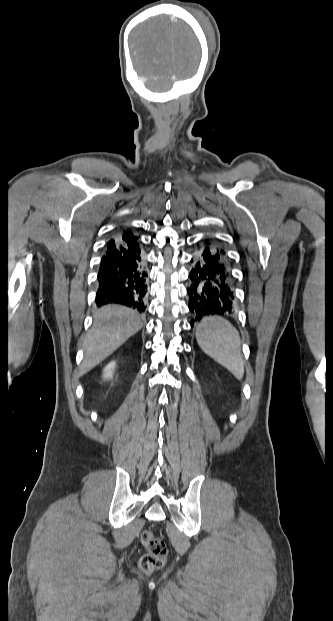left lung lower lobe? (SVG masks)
I'll use <instances>...</instances> for the list:
<instances>
[{"label": "left lung lower lobe", "mask_w": 333, "mask_h": 621, "mask_svg": "<svg viewBox=\"0 0 333 621\" xmlns=\"http://www.w3.org/2000/svg\"><path fill=\"white\" fill-rule=\"evenodd\" d=\"M191 261L188 306L195 320L210 314H232L234 293L225 250L218 243L205 240Z\"/></svg>", "instance_id": "left-lung-lower-lobe-1"}]
</instances>
